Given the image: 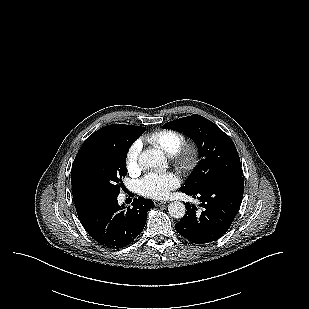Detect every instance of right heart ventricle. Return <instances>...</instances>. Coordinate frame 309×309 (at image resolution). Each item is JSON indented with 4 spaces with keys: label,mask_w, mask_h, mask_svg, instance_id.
Here are the masks:
<instances>
[{
    "label": "right heart ventricle",
    "mask_w": 309,
    "mask_h": 309,
    "mask_svg": "<svg viewBox=\"0 0 309 309\" xmlns=\"http://www.w3.org/2000/svg\"><path fill=\"white\" fill-rule=\"evenodd\" d=\"M146 141L173 155L185 142L184 135L176 130L162 129L146 136Z\"/></svg>",
    "instance_id": "e07e8e85"
}]
</instances>
